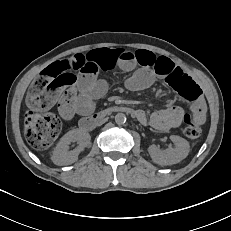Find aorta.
I'll return each instance as SVG.
<instances>
[{"label":"aorta","mask_w":231,"mask_h":231,"mask_svg":"<svg viewBox=\"0 0 231 231\" xmlns=\"http://www.w3.org/2000/svg\"><path fill=\"white\" fill-rule=\"evenodd\" d=\"M115 122L119 125L124 124L126 122V116L124 113H117L115 116Z\"/></svg>","instance_id":"aorta-1"}]
</instances>
